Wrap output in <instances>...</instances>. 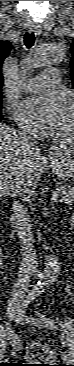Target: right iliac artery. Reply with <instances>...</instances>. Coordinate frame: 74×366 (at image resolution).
I'll return each mask as SVG.
<instances>
[{"instance_id": "obj_1", "label": "right iliac artery", "mask_w": 74, "mask_h": 366, "mask_svg": "<svg viewBox=\"0 0 74 366\" xmlns=\"http://www.w3.org/2000/svg\"><path fill=\"white\" fill-rule=\"evenodd\" d=\"M7 330H8V328H7ZM8 335H9V339L11 340L12 345L14 346V343H15L14 332L12 330H10Z\"/></svg>"}]
</instances>
